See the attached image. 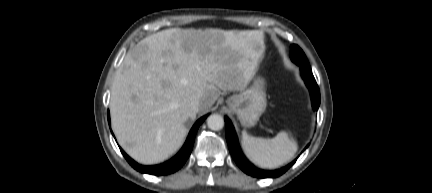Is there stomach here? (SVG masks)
<instances>
[{
    "label": "stomach",
    "instance_id": "obj_1",
    "mask_svg": "<svg viewBox=\"0 0 432 193\" xmlns=\"http://www.w3.org/2000/svg\"><path fill=\"white\" fill-rule=\"evenodd\" d=\"M265 84L264 78L257 76L249 88L229 97L226 101L245 127L254 126L266 109Z\"/></svg>",
    "mask_w": 432,
    "mask_h": 193
}]
</instances>
